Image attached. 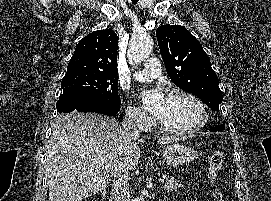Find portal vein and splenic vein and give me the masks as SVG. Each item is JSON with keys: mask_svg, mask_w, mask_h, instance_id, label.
I'll return each mask as SVG.
<instances>
[{"mask_svg": "<svg viewBox=\"0 0 271 201\" xmlns=\"http://www.w3.org/2000/svg\"><path fill=\"white\" fill-rule=\"evenodd\" d=\"M94 162H95V163H99V164L101 163V161H100V160H97V159H96ZM163 182H164V179H163V178H160V179H159V183H163Z\"/></svg>", "mask_w": 271, "mask_h": 201, "instance_id": "1", "label": "portal vein and splenic vein"}]
</instances>
